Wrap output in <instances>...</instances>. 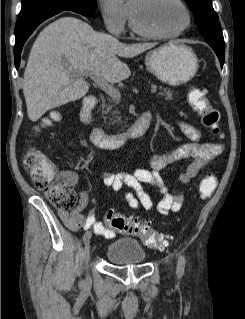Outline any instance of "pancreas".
<instances>
[{
    "label": "pancreas",
    "mask_w": 245,
    "mask_h": 319,
    "mask_svg": "<svg viewBox=\"0 0 245 319\" xmlns=\"http://www.w3.org/2000/svg\"><path fill=\"white\" fill-rule=\"evenodd\" d=\"M161 91L158 93V95L160 96H164L166 100H172L174 97V92L170 89V88H165V87H161L160 88ZM118 104V101L115 99H111L108 103L103 102L102 103V114L107 115L108 113H110V111L112 110L113 107H115ZM117 110H114L111 113V120H115V118L117 117ZM104 119H107V117H104Z\"/></svg>",
    "instance_id": "1"
}]
</instances>
